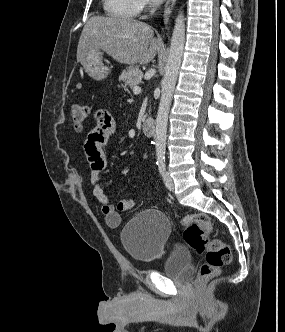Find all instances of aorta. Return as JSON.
<instances>
[{"instance_id": "1", "label": "aorta", "mask_w": 285, "mask_h": 332, "mask_svg": "<svg viewBox=\"0 0 285 332\" xmlns=\"http://www.w3.org/2000/svg\"><path fill=\"white\" fill-rule=\"evenodd\" d=\"M185 44V18L179 11L173 29L165 74L161 82V100L156 117L155 146L159 160L165 157L168 114L181 65Z\"/></svg>"}]
</instances>
